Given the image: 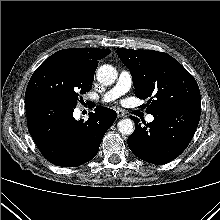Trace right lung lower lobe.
<instances>
[{
  "label": "right lung lower lobe",
  "instance_id": "98d812e1",
  "mask_svg": "<svg viewBox=\"0 0 220 220\" xmlns=\"http://www.w3.org/2000/svg\"><path fill=\"white\" fill-rule=\"evenodd\" d=\"M28 130L52 164L77 167L93 159L116 112L97 107L86 122L73 117L74 106L46 96L25 97Z\"/></svg>",
  "mask_w": 220,
  "mask_h": 220
}]
</instances>
